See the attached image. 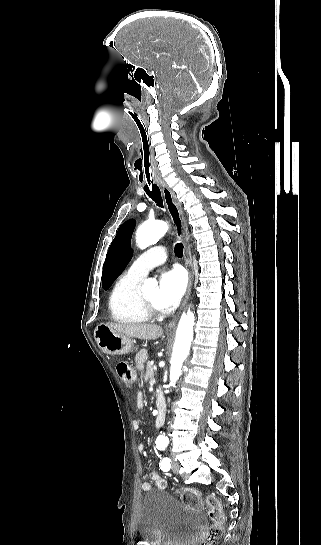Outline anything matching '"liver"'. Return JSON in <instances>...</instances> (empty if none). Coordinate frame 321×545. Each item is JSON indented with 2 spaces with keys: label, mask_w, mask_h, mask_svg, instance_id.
<instances>
[{
  "label": "liver",
  "mask_w": 321,
  "mask_h": 545,
  "mask_svg": "<svg viewBox=\"0 0 321 545\" xmlns=\"http://www.w3.org/2000/svg\"><path fill=\"white\" fill-rule=\"evenodd\" d=\"M106 325L119 335L144 339V341H155L163 335L162 327L159 325H147V323H106Z\"/></svg>",
  "instance_id": "liver-1"
}]
</instances>
